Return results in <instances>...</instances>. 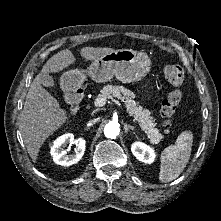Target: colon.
<instances>
[{
	"instance_id": "obj_1",
	"label": "colon",
	"mask_w": 221,
	"mask_h": 221,
	"mask_svg": "<svg viewBox=\"0 0 221 221\" xmlns=\"http://www.w3.org/2000/svg\"><path fill=\"white\" fill-rule=\"evenodd\" d=\"M164 76L174 87L173 90L163 99L161 104L163 127L166 131H170L173 126L171 117L182 100V85L184 83L185 76L183 69L178 65H167L164 68Z\"/></svg>"
}]
</instances>
